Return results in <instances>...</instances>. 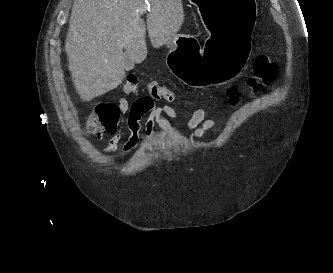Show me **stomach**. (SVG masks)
<instances>
[{
    "label": "stomach",
    "mask_w": 333,
    "mask_h": 273,
    "mask_svg": "<svg viewBox=\"0 0 333 273\" xmlns=\"http://www.w3.org/2000/svg\"><path fill=\"white\" fill-rule=\"evenodd\" d=\"M197 7L202 28L207 32L202 53H197L196 39L177 34L167 47L169 65L186 85L206 88L215 81H234L248 65L251 38L258 16H254L256 0H189Z\"/></svg>",
    "instance_id": "0dacf381"
}]
</instances>
